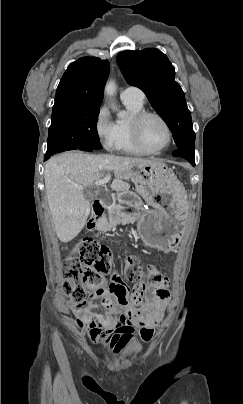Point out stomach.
<instances>
[{"label":"stomach","mask_w":243,"mask_h":404,"mask_svg":"<svg viewBox=\"0 0 243 404\" xmlns=\"http://www.w3.org/2000/svg\"><path fill=\"white\" fill-rule=\"evenodd\" d=\"M137 192L152 209H141L138 233L152 248L168 252L181 239L186 224L188 203L183 185L167 166L158 160L134 173Z\"/></svg>","instance_id":"1"}]
</instances>
